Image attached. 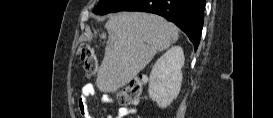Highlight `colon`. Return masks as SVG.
Listing matches in <instances>:
<instances>
[{
    "label": "colon",
    "instance_id": "5ec220e1",
    "mask_svg": "<svg viewBox=\"0 0 273 118\" xmlns=\"http://www.w3.org/2000/svg\"><path fill=\"white\" fill-rule=\"evenodd\" d=\"M78 54L83 61L84 70L88 77H93L98 68L97 57L93 48L88 43H81L78 47ZM143 86L142 79H135L131 84L122 88L118 94V102L123 106H131L139 102L141 89Z\"/></svg>",
    "mask_w": 273,
    "mask_h": 118
}]
</instances>
